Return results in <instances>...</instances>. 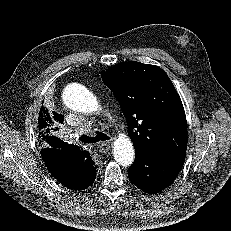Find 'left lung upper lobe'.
<instances>
[{
  "mask_svg": "<svg viewBox=\"0 0 231 231\" xmlns=\"http://www.w3.org/2000/svg\"><path fill=\"white\" fill-rule=\"evenodd\" d=\"M102 80L120 103L135 150L185 158L187 123L181 99L158 66L121 62L102 71Z\"/></svg>",
  "mask_w": 231,
  "mask_h": 231,
  "instance_id": "5c2ea615",
  "label": "left lung upper lobe"
}]
</instances>
